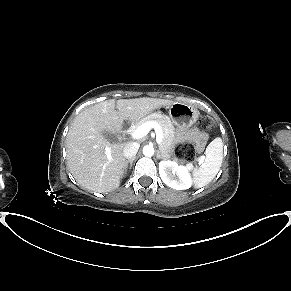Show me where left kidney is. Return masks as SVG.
I'll return each instance as SVG.
<instances>
[{"label": "left kidney", "instance_id": "1", "mask_svg": "<svg viewBox=\"0 0 291 291\" xmlns=\"http://www.w3.org/2000/svg\"><path fill=\"white\" fill-rule=\"evenodd\" d=\"M162 181L176 190H186L192 186L190 166L178 165L174 161L164 160L159 163Z\"/></svg>", "mask_w": 291, "mask_h": 291}]
</instances>
